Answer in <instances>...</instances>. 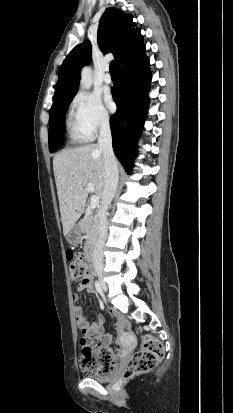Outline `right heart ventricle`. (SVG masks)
Masks as SVG:
<instances>
[{
  "mask_svg": "<svg viewBox=\"0 0 233 413\" xmlns=\"http://www.w3.org/2000/svg\"><path fill=\"white\" fill-rule=\"evenodd\" d=\"M66 129L68 138L73 144H80L86 142L90 137L82 127L76 110L71 109L66 119Z\"/></svg>",
  "mask_w": 233,
  "mask_h": 413,
  "instance_id": "e07e8e85",
  "label": "right heart ventricle"
}]
</instances>
